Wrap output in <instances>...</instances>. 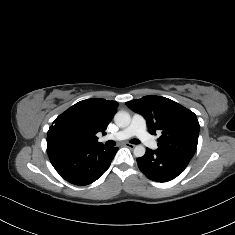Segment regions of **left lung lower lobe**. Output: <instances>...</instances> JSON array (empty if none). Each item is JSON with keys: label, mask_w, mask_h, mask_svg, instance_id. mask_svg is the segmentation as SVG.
Here are the masks:
<instances>
[{"label": "left lung lower lobe", "mask_w": 235, "mask_h": 235, "mask_svg": "<svg viewBox=\"0 0 235 235\" xmlns=\"http://www.w3.org/2000/svg\"><path fill=\"white\" fill-rule=\"evenodd\" d=\"M139 169L152 181L166 182L180 175L190 160L179 155L146 149L144 156L137 158Z\"/></svg>", "instance_id": "obj_1"}]
</instances>
